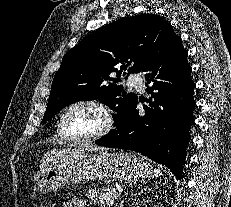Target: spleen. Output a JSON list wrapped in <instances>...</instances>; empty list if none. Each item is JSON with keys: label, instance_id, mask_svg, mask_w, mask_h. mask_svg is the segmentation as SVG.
<instances>
[{"label": "spleen", "instance_id": "1", "mask_svg": "<svg viewBox=\"0 0 231 207\" xmlns=\"http://www.w3.org/2000/svg\"><path fill=\"white\" fill-rule=\"evenodd\" d=\"M153 175H155V176L161 175V170L159 168H154Z\"/></svg>", "mask_w": 231, "mask_h": 207}]
</instances>
